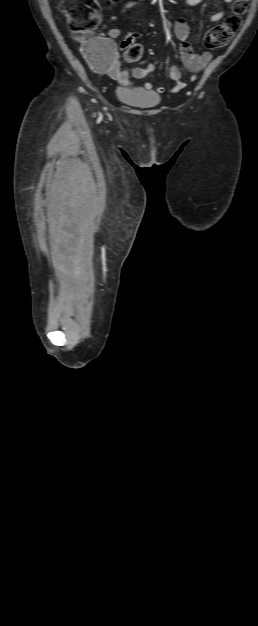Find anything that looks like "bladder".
<instances>
[{
  "instance_id": "obj_1",
  "label": "bladder",
  "mask_w": 258,
  "mask_h": 626,
  "mask_svg": "<svg viewBox=\"0 0 258 626\" xmlns=\"http://www.w3.org/2000/svg\"><path fill=\"white\" fill-rule=\"evenodd\" d=\"M116 97L121 103L139 109L153 108L160 103V96L155 92L132 86L118 87Z\"/></svg>"
}]
</instances>
